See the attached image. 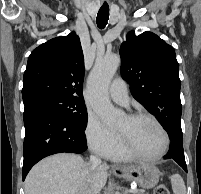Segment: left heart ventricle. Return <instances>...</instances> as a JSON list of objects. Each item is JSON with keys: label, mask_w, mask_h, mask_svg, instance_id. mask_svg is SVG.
Wrapping results in <instances>:
<instances>
[{"label": "left heart ventricle", "mask_w": 201, "mask_h": 194, "mask_svg": "<svg viewBox=\"0 0 201 194\" xmlns=\"http://www.w3.org/2000/svg\"><path fill=\"white\" fill-rule=\"evenodd\" d=\"M118 131L142 154H157L164 146V137L160 129L147 118L130 119L127 116L121 121Z\"/></svg>", "instance_id": "b2bd125f"}]
</instances>
